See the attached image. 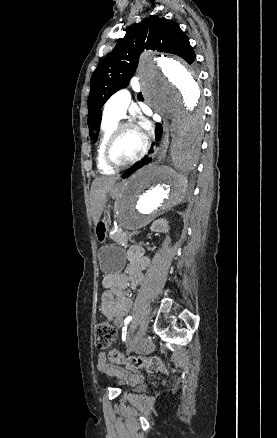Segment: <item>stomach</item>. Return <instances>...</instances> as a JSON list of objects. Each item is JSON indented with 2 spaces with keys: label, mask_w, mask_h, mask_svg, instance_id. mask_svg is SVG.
Instances as JSON below:
<instances>
[{
  "label": "stomach",
  "mask_w": 277,
  "mask_h": 438,
  "mask_svg": "<svg viewBox=\"0 0 277 438\" xmlns=\"http://www.w3.org/2000/svg\"><path fill=\"white\" fill-rule=\"evenodd\" d=\"M120 192V188L113 186L109 191L112 197H117ZM109 227V221L107 218L99 220L95 227L97 239L104 243L107 237ZM98 258L100 262V268L103 273H117L120 272L125 264L124 251L119 247L103 245L98 251Z\"/></svg>",
  "instance_id": "1"
}]
</instances>
